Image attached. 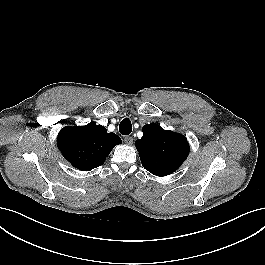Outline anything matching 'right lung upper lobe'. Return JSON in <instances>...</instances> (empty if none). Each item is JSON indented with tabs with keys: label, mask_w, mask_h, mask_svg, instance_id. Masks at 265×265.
Returning a JSON list of instances; mask_svg holds the SVG:
<instances>
[{
	"label": "right lung upper lobe",
	"mask_w": 265,
	"mask_h": 265,
	"mask_svg": "<svg viewBox=\"0 0 265 265\" xmlns=\"http://www.w3.org/2000/svg\"><path fill=\"white\" fill-rule=\"evenodd\" d=\"M57 145L62 155L74 167L89 171L102 165L111 150L122 141L105 127L90 122L85 126L64 127Z\"/></svg>",
	"instance_id": "1"
}]
</instances>
